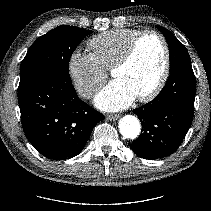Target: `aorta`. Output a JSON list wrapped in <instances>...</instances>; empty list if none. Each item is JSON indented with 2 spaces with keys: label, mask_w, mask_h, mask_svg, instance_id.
Segmentation results:
<instances>
[{
  "label": "aorta",
  "mask_w": 211,
  "mask_h": 211,
  "mask_svg": "<svg viewBox=\"0 0 211 211\" xmlns=\"http://www.w3.org/2000/svg\"><path fill=\"white\" fill-rule=\"evenodd\" d=\"M120 133L128 139H135L141 131L139 120L132 115H126L119 121Z\"/></svg>",
  "instance_id": "1"
}]
</instances>
